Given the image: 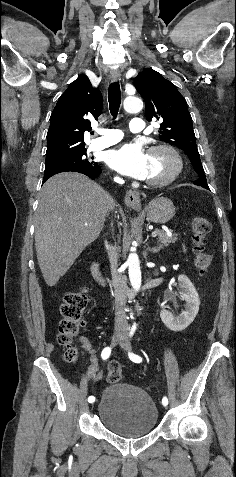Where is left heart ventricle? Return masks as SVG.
I'll return each instance as SVG.
<instances>
[{
    "label": "left heart ventricle",
    "mask_w": 236,
    "mask_h": 477,
    "mask_svg": "<svg viewBox=\"0 0 236 477\" xmlns=\"http://www.w3.org/2000/svg\"><path fill=\"white\" fill-rule=\"evenodd\" d=\"M173 169V162L164 152L148 154L147 179H161L167 176Z\"/></svg>",
    "instance_id": "obj_1"
}]
</instances>
